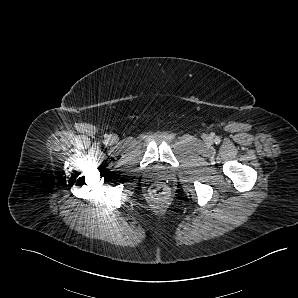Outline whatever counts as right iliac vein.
I'll list each match as a JSON object with an SVG mask.
<instances>
[{
  "label": "right iliac vein",
  "mask_w": 298,
  "mask_h": 298,
  "mask_svg": "<svg viewBox=\"0 0 298 298\" xmlns=\"http://www.w3.org/2000/svg\"><path fill=\"white\" fill-rule=\"evenodd\" d=\"M109 139H110L111 142H115L117 138H116V136H113V135H112V136H110Z\"/></svg>",
  "instance_id": "obj_1"
}]
</instances>
